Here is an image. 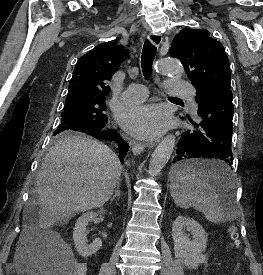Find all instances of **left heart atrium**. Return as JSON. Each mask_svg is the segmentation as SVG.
<instances>
[{
  "mask_svg": "<svg viewBox=\"0 0 263 275\" xmlns=\"http://www.w3.org/2000/svg\"><path fill=\"white\" fill-rule=\"evenodd\" d=\"M123 127L133 136L141 139L154 138L167 127V115L157 105H140L126 110L122 117Z\"/></svg>",
  "mask_w": 263,
  "mask_h": 275,
  "instance_id": "1",
  "label": "left heart atrium"
}]
</instances>
